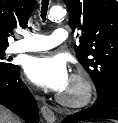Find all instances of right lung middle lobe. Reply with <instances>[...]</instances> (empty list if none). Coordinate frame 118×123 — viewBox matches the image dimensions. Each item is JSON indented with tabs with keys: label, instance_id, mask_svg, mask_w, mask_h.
<instances>
[{
	"label": "right lung middle lobe",
	"instance_id": "obj_1",
	"mask_svg": "<svg viewBox=\"0 0 118 123\" xmlns=\"http://www.w3.org/2000/svg\"><path fill=\"white\" fill-rule=\"evenodd\" d=\"M5 50L6 48H0V74H7L18 68L17 65L8 63L10 58L5 57Z\"/></svg>",
	"mask_w": 118,
	"mask_h": 123
}]
</instances>
